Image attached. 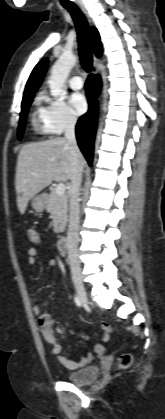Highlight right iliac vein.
I'll use <instances>...</instances> for the list:
<instances>
[{"label": "right iliac vein", "mask_w": 165, "mask_h": 419, "mask_svg": "<svg viewBox=\"0 0 165 419\" xmlns=\"http://www.w3.org/2000/svg\"><path fill=\"white\" fill-rule=\"evenodd\" d=\"M73 282H74L75 290H76L77 294L79 295L80 299L83 302L87 303V301H88L87 292H86V289H85V286H84L82 280L79 279V278H75Z\"/></svg>", "instance_id": "obj_1"}]
</instances>
